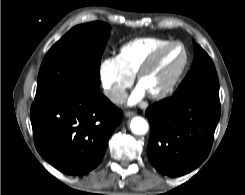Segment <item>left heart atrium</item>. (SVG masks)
Wrapping results in <instances>:
<instances>
[{
  "instance_id": "left-heart-atrium-1",
  "label": "left heart atrium",
  "mask_w": 245,
  "mask_h": 195,
  "mask_svg": "<svg viewBox=\"0 0 245 195\" xmlns=\"http://www.w3.org/2000/svg\"><path fill=\"white\" fill-rule=\"evenodd\" d=\"M144 95H145V91L140 86H138L135 89V91L132 93L129 99V104L133 105L137 103L139 100L143 98Z\"/></svg>"
}]
</instances>
